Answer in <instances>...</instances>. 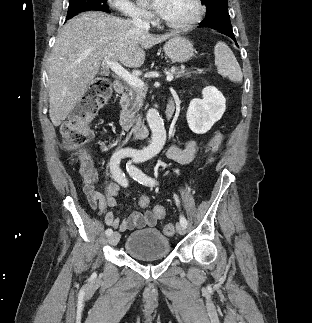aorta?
<instances>
[{"mask_svg":"<svg viewBox=\"0 0 312 323\" xmlns=\"http://www.w3.org/2000/svg\"><path fill=\"white\" fill-rule=\"evenodd\" d=\"M147 122L152 132V140L148 150L151 154H159L166 142V130L157 110H148Z\"/></svg>","mask_w":312,"mask_h":323,"instance_id":"762f6f07","label":"aorta"}]
</instances>
